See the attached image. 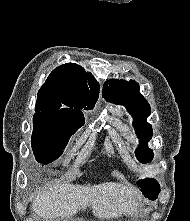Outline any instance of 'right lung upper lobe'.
I'll use <instances>...</instances> for the list:
<instances>
[{
  "label": "right lung upper lobe",
  "mask_w": 190,
  "mask_h": 221,
  "mask_svg": "<svg viewBox=\"0 0 190 221\" xmlns=\"http://www.w3.org/2000/svg\"><path fill=\"white\" fill-rule=\"evenodd\" d=\"M98 97L99 84L93 75L77 64L67 63L55 68L40 88L34 116L85 121L80 109L94 108Z\"/></svg>",
  "instance_id": "cb5924a9"
}]
</instances>
